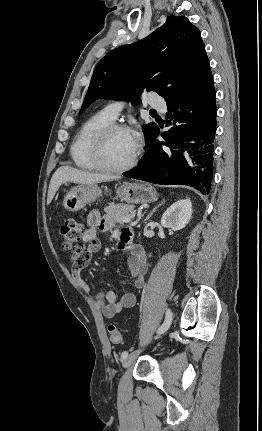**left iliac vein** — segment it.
<instances>
[{
    "label": "left iliac vein",
    "instance_id": "4c4485c4",
    "mask_svg": "<svg viewBox=\"0 0 262 431\" xmlns=\"http://www.w3.org/2000/svg\"><path fill=\"white\" fill-rule=\"evenodd\" d=\"M141 350H135L133 352H131L122 362V365L124 368H128L130 367L133 362L136 360V358L139 356Z\"/></svg>",
    "mask_w": 262,
    "mask_h": 431
}]
</instances>
